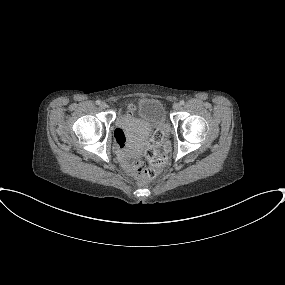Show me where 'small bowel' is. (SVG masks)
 <instances>
[{
    "mask_svg": "<svg viewBox=\"0 0 285 285\" xmlns=\"http://www.w3.org/2000/svg\"><path fill=\"white\" fill-rule=\"evenodd\" d=\"M120 136H121V132L117 131L116 137L119 139ZM119 153H120L121 157H123V159L125 160V166H126L127 171L130 173H133L134 170H133L132 166L134 163H131L130 161H128V158L131 155V152L128 149H126L125 147H123L122 145H120Z\"/></svg>",
    "mask_w": 285,
    "mask_h": 285,
    "instance_id": "obj_1",
    "label": "small bowel"
}]
</instances>
